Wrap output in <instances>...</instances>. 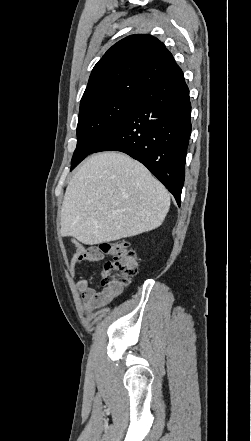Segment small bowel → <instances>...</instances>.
Masks as SVG:
<instances>
[{
	"label": "small bowel",
	"mask_w": 251,
	"mask_h": 441,
	"mask_svg": "<svg viewBox=\"0 0 251 441\" xmlns=\"http://www.w3.org/2000/svg\"><path fill=\"white\" fill-rule=\"evenodd\" d=\"M74 244L76 251L68 266L71 275L75 274L79 265L86 262L99 261L103 257L100 250L95 247L86 248L79 243ZM76 288L86 310L96 309L110 303L122 291V289L115 290L110 286H104L101 290H97L90 285L89 280L86 278L79 279L76 282Z\"/></svg>",
	"instance_id": "1"
}]
</instances>
